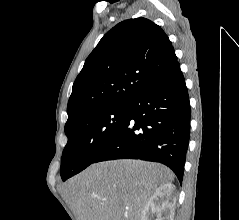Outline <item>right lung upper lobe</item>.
Masks as SVG:
<instances>
[{
	"mask_svg": "<svg viewBox=\"0 0 239 220\" xmlns=\"http://www.w3.org/2000/svg\"><path fill=\"white\" fill-rule=\"evenodd\" d=\"M176 62L160 26L142 17L117 24L103 36L77 76L65 127L90 112L127 103Z\"/></svg>",
	"mask_w": 239,
	"mask_h": 220,
	"instance_id": "obj_1",
	"label": "right lung upper lobe"
}]
</instances>
